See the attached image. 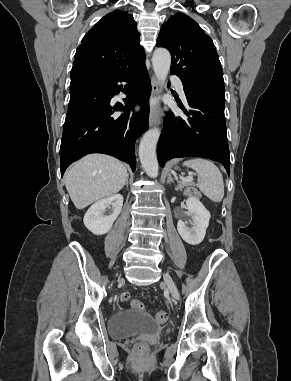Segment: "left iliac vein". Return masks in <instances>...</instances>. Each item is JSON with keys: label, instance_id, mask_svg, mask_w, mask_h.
Here are the masks:
<instances>
[{"label": "left iliac vein", "instance_id": "1", "mask_svg": "<svg viewBox=\"0 0 291 381\" xmlns=\"http://www.w3.org/2000/svg\"><path fill=\"white\" fill-rule=\"evenodd\" d=\"M163 280H164L165 285L169 289L172 297L176 300H179L180 295H179L178 289H177L172 277L168 273H164L163 274Z\"/></svg>", "mask_w": 291, "mask_h": 381}]
</instances>
